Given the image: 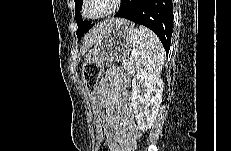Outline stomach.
<instances>
[{
    "mask_svg": "<svg viewBox=\"0 0 231 151\" xmlns=\"http://www.w3.org/2000/svg\"><path fill=\"white\" fill-rule=\"evenodd\" d=\"M133 31L134 25L127 20L113 24L86 54V63L120 61L127 58L131 50Z\"/></svg>",
    "mask_w": 231,
    "mask_h": 151,
    "instance_id": "0dacf381",
    "label": "stomach"
}]
</instances>
